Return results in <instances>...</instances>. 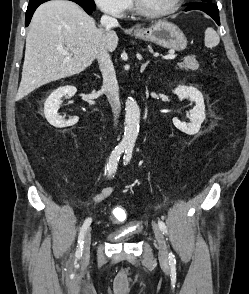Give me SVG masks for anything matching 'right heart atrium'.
Wrapping results in <instances>:
<instances>
[{
  "label": "right heart atrium",
  "mask_w": 249,
  "mask_h": 294,
  "mask_svg": "<svg viewBox=\"0 0 249 294\" xmlns=\"http://www.w3.org/2000/svg\"><path fill=\"white\" fill-rule=\"evenodd\" d=\"M96 6L103 12L114 17H122L130 6V0H94Z\"/></svg>",
  "instance_id": "obj_1"
}]
</instances>
